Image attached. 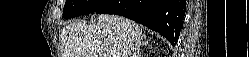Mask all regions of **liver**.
Listing matches in <instances>:
<instances>
[{
    "label": "liver",
    "mask_w": 249,
    "mask_h": 57,
    "mask_svg": "<svg viewBox=\"0 0 249 57\" xmlns=\"http://www.w3.org/2000/svg\"><path fill=\"white\" fill-rule=\"evenodd\" d=\"M144 36L139 24L123 16L100 14L93 25L73 22L63 29L62 57H138L134 50Z\"/></svg>",
    "instance_id": "6515ba94"
}]
</instances>
